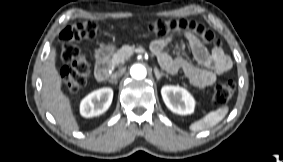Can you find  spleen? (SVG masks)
Masks as SVG:
<instances>
[{"label":"spleen","instance_id":"obj_1","mask_svg":"<svg viewBox=\"0 0 283 162\" xmlns=\"http://www.w3.org/2000/svg\"><path fill=\"white\" fill-rule=\"evenodd\" d=\"M229 108L227 106L221 107L215 111L209 112L202 119L195 121L190 125V130L201 131L204 129H209L217 125L228 113Z\"/></svg>","mask_w":283,"mask_h":162}]
</instances>
